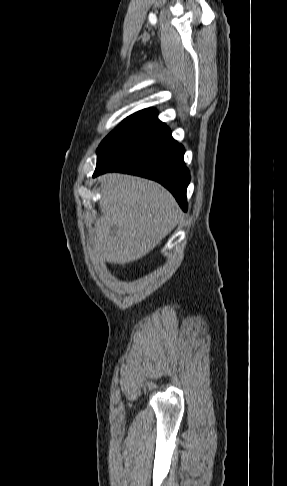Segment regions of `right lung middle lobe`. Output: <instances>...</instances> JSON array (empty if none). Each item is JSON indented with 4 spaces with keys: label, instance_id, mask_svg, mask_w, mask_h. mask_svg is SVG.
I'll return each instance as SVG.
<instances>
[{
    "label": "right lung middle lobe",
    "instance_id": "1",
    "mask_svg": "<svg viewBox=\"0 0 287 486\" xmlns=\"http://www.w3.org/2000/svg\"><path fill=\"white\" fill-rule=\"evenodd\" d=\"M161 123L156 111L152 109H144L127 117L101 142L97 150V162L132 143Z\"/></svg>",
    "mask_w": 287,
    "mask_h": 486
}]
</instances>
